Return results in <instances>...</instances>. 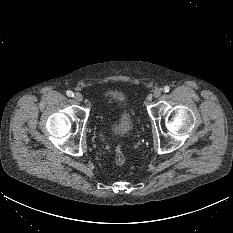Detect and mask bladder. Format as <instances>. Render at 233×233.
<instances>
[{
    "label": "bladder",
    "mask_w": 233,
    "mask_h": 233,
    "mask_svg": "<svg viewBox=\"0 0 233 233\" xmlns=\"http://www.w3.org/2000/svg\"><path fill=\"white\" fill-rule=\"evenodd\" d=\"M107 100L110 103H119L122 105L119 116L111 124L112 134L117 137L129 136L134 128V123L130 112L124 106L126 102L125 95L121 92L113 91L107 95Z\"/></svg>",
    "instance_id": "obj_1"
}]
</instances>
